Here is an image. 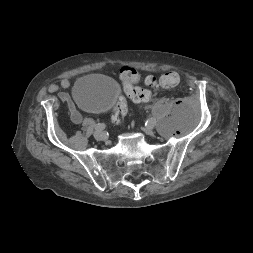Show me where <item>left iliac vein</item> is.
<instances>
[{
  "label": "left iliac vein",
  "instance_id": "1",
  "mask_svg": "<svg viewBox=\"0 0 253 253\" xmlns=\"http://www.w3.org/2000/svg\"><path fill=\"white\" fill-rule=\"evenodd\" d=\"M153 127H154V126H146L145 129H144V131H145L148 135L152 136V135H154Z\"/></svg>",
  "mask_w": 253,
  "mask_h": 253
}]
</instances>
